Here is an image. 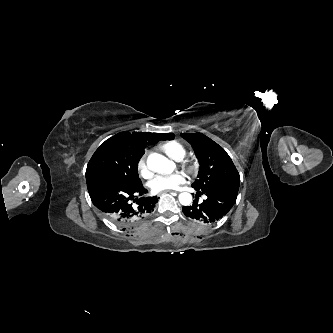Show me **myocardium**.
<instances>
[{
  "instance_id": "obj_1",
  "label": "myocardium",
  "mask_w": 333,
  "mask_h": 333,
  "mask_svg": "<svg viewBox=\"0 0 333 333\" xmlns=\"http://www.w3.org/2000/svg\"><path fill=\"white\" fill-rule=\"evenodd\" d=\"M185 167L189 173L193 174L197 171V165L195 163H188Z\"/></svg>"
}]
</instances>
